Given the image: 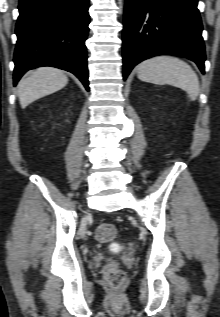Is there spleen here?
Segmentation results:
<instances>
[{
    "mask_svg": "<svg viewBox=\"0 0 220 317\" xmlns=\"http://www.w3.org/2000/svg\"><path fill=\"white\" fill-rule=\"evenodd\" d=\"M138 78L154 84H169L187 92L191 99L199 94V80L195 71L177 57L159 55L137 66Z\"/></svg>",
    "mask_w": 220,
    "mask_h": 317,
    "instance_id": "obj_1",
    "label": "spleen"
}]
</instances>
